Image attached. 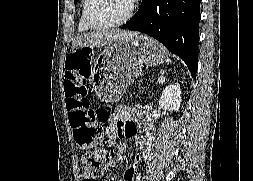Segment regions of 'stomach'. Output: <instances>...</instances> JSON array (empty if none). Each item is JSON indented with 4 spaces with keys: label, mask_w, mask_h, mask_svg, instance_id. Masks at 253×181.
<instances>
[{
    "label": "stomach",
    "mask_w": 253,
    "mask_h": 181,
    "mask_svg": "<svg viewBox=\"0 0 253 181\" xmlns=\"http://www.w3.org/2000/svg\"><path fill=\"white\" fill-rule=\"evenodd\" d=\"M167 59L166 49L145 35L107 45L95 62L94 88L97 96L108 103L119 100L128 85L139 77L143 64L156 66Z\"/></svg>",
    "instance_id": "1"
}]
</instances>
